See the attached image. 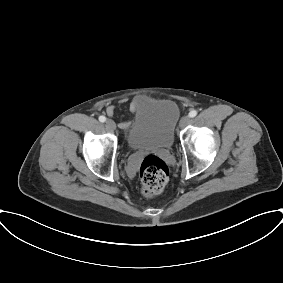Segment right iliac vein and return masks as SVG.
I'll return each instance as SVG.
<instances>
[{
    "mask_svg": "<svg viewBox=\"0 0 283 283\" xmlns=\"http://www.w3.org/2000/svg\"><path fill=\"white\" fill-rule=\"evenodd\" d=\"M105 125L108 129L110 130H115L116 129V124L113 120L111 119H108L106 122H105Z\"/></svg>",
    "mask_w": 283,
    "mask_h": 283,
    "instance_id": "right-iliac-vein-1",
    "label": "right iliac vein"
}]
</instances>
